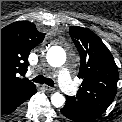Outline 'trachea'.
<instances>
[{
	"instance_id": "trachea-1",
	"label": "trachea",
	"mask_w": 122,
	"mask_h": 122,
	"mask_svg": "<svg viewBox=\"0 0 122 122\" xmlns=\"http://www.w3.org/2000/svg\"><path fill=\"white\" fill-rule=\"evenodd\" d=\"M33 82L35 83H46L47 85L51 86V87H54V81L50 78H47L43 75H39L37 77H35L34 79H32Z\"/></svg>"
}]
</instances>
